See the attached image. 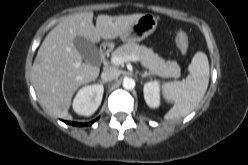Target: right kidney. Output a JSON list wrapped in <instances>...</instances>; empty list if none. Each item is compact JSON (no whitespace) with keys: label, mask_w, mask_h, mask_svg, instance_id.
<instances>
[{"label":"right kidney","mask_w":248,"mask_h":165,"mask_svg":"<svg viewBox=\"0 0 248 165\" xmlns=\"http://www.w3.org/2000/svg\"><path fill=\"white\" fill-rule=\"evenodd\" d=\"M104 87L101 84L81 88L73 100L74 111L83 116H91L101 104Z\"/></svg>","instance_id":"ca27d5eb"}]
</instances>
